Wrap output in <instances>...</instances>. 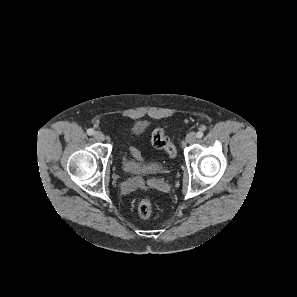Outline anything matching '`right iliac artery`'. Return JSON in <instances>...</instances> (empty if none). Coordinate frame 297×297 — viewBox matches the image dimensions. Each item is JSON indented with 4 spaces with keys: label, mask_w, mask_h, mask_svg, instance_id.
Segmentation results:
<instances>
[{
    "label": "right iliac artery",
    "mask_w": 297,
    "mask_h": 297,
    "mask_svg": "<svg viewBox=\"0 0 297 297\" xmlns=\"http://www.w3.org/2000/svg\"><path fill=\"white\" fill-rule=\"evenodd\" d=\"M87 134H88V135H93V134H94V130L91 129V128L88 129V130H87Z\"/></svg>",
    "instance_id": "82829eb1"
}]
</instances>
